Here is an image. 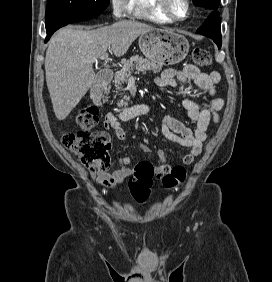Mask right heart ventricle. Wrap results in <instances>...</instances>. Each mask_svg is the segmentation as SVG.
I'll return each mask as SVG.
<instances>
[{
    "label": "right heart ventricle",
    "instance_id": "1",
    "mask_svg": "<svg viewBox=\"0 0 272 282\" xmlns=\"http://www.w3.org/2000/svg\"><path fill=\"white\" fill-rule=\"evenodd\" d=\"M133 17L143 18L156 23H171L158 7L157 0H132Z\"/></svg>",
    "mask_w": 272,
    "mask_h": 282
}]
</instances>
